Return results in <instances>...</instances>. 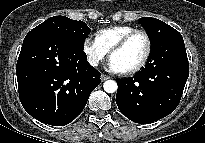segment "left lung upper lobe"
I'll use <instances>...</instances> for the list:
<instances>
[{
    "label": "left lung upper lobe",
    "instance_id": "left-lung-upper-lobe-1",
    "mask_svg": "<svg viewBox=\"0 0 205 143\" xmlns=\"http://www.w3.org/2000/svg\"><path fill=\"white\" fill-rule=\"evenodd\" d=\"M140 23L145 28L147 34L149 35L151 41V49L156 47L159 43H161L166 37L179 33L173 27L168 24L160 21L159 19L152 17H142L140 19ZM155 59L151 57L148 58V61L145 65V68H148L151 63H153ZM152 64L151 66H153Z\"/></svg>",
    "mask_w": 205,
    "mask_h": 143
}]
</instances>
